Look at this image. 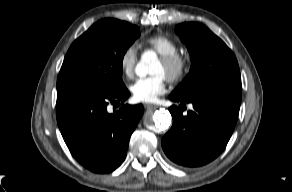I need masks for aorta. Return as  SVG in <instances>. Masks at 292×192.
<instances>
[{
	"instance_id": "obj_1",
	"label": "aorta",
	"mask_w": 292,
	"mask_h": 192,
	"mask_svg": "<svg viewBox=\"0 0 292 192\" xmlns=\"http://www.w3.org/2000/svg\"><path fill=\"white\" fill-rule=\"evenodd\" d=\"M156 61V54L148 51L142 55L140 62L136 65L135 72L139 77H145L150 73L152 65ZM171 115L165 109L156 111L153 115V122L159 130H166L171 124Z\"/></svg>"
}]
</instances>
